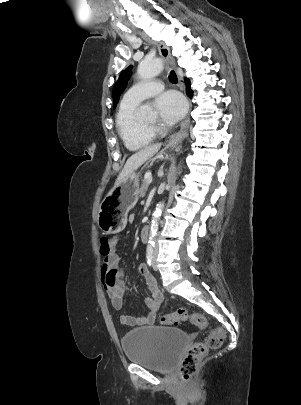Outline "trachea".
Here are the masks:
<instances>
[{"label": "trachea", "instance_id": "obj_1", "mask_svg": "<svg viewBox=\"0 0 301 405\" xmlns=\"http://www.w3.org/2000/svg\"><path fill=\"white\" fill-rule=\"evenodd\" d=\"M169 79L173 84H176L178 82L176 73L173 70L170 72Z\"/></svg>", "mask_w": 301, "mask_h": 405}]
</instances>
